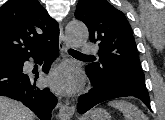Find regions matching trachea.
I'll return each instance as SVG.
<instances>
[{
	"mask_svg": "<svg viewBox=\"0 0 165 120\" xmlns=\"http://www.w3.org/2000/svg\"><path fill=\"white\" fill-rule=\"evenodd\" d=\"M69 53H70V54H74V55L88 56V55H84V54H82L81 52L76 51V50H73V49H70V50H69Z\"/></svg>",
	"mask_w": 165,
	"mask_h": 120,
	"instance_id": "trachea-1",
	"label": "trachea"
}]
</instances>
